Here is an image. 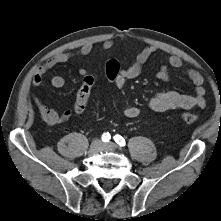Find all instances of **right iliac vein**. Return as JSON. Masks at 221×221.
I'll return each mask as SVG.
<instances>
[{"instance_id": "right-iliac-vein-1", "label": "right iliac vein", "mask_w": 221, "mask_h": 221, "mask_svg": "<svg viewBox=\"0 0 221 221\" xmlns=\"http://www.w3.org/2000/svg\"><path fill=\"white\" fill-rule=\"evenodd\" d=\"M101 148H102V142L100 140H94L90 145L88 153L96 154L101 150Z\"/></svg>"}]
</instances>
